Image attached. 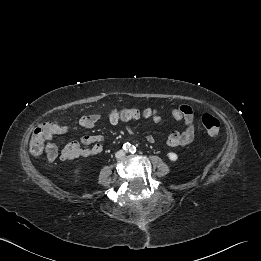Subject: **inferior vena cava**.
Segmentation results:
<instances>
[{
    "label": "inferior vena cava",
    "mask_w": 261,
    "mask_h": 261,
    "mask_svg": "<svg viewBox=\"0 0 261 261\" xmlns=\"http://www.w3.org/2000/svg\"><path fill=\"white\" fill-rule=\"evenodd\" d=\"M125 156V152L123 151V150H119V151H117L116 153H115V157L117 158V159H121V158H123Z\"/></svg>",
    "instance_id": "obj_1"
}]
</instances>
